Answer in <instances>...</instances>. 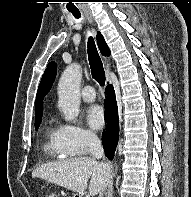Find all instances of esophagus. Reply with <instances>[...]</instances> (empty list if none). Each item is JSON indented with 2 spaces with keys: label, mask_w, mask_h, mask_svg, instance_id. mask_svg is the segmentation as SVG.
Segmentation results:
<instances>
[{
  "label": "esophagus",
  "mask_w": 191,
  "mask_h": 197,
  "mask_svg": "<svg viewBox=\"0 0 191 197\" xmlns=\"http://www.w3.org/2000/svg\"><path fill=\"white\" fill-rule=\"evenodd\" d=\"M86 17L87 19L92 22V19H91V16L89 14H86ZM106 78H107V81H111V77H110V65H109V62L107 61L106 59Z\"/></svg>",
  "instance_id": "1"
}]
</instances>
